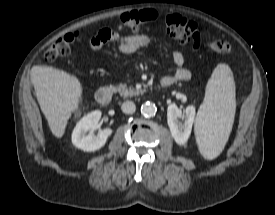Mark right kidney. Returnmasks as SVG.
Listing matches in <instances>:
<instances>
[{"label":"right kidney","mask_w":275,"mask_h":215,"mask_svg":"<svg viewBox=\"0 0 275 215\" xmlns=\"http://www.w3.org/2000/svg\"><path fill=\"white\" fill-rule=\"evenodd\" d=\"M100 117L101 111L95 110L85 115L77 123L72 132V143L75 147L83 151L93 152L105 145L108 137L112 134L111 129L99 131L97 136L92 133V130L97 128Z\"/></svg>","instance_id":"1"}]
</instances>
